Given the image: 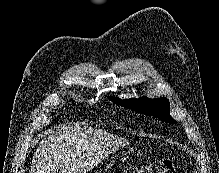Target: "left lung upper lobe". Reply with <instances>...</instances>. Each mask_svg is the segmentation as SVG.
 <instances>
[{"label": "left lung upper lobe", "mask_w": 219, "mask_h": 173, "mask_svg": "<svg viewBox=\"0 0 219 173\" xmlns=\"http://www.w3.org/2000/svg\"><path fill=\"white\" fill-rule=\"evenodd\" d=\"M109 99L117 105L132 109L138 113L153 116L168 123H176L169 114L170 103L167 98L149 99L143 96L138 99L121 100L115 97H109Z\"/></svg>", "instance_id": "1"}]
</instances>
